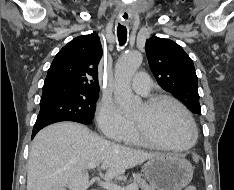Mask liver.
Instances as JSON below:
<instances>
[{
	"label": "liver",
	"mask_w": 234,
	"mask_h": 190,
	"mask_svg": "<svg viewBox=\"0 0 234 190\" xmlns=\"http://www.w3.org/2000/svg\"><path fill=\"white\" fill-rule=\"evenodd\" d=\"M155 156L108 141L81 124L56 123L33 140L27 190H87L90 163H101L105 179L112 180Z\"/></svg>",
	"instance_id": "liver-1"
}]
</instances>
